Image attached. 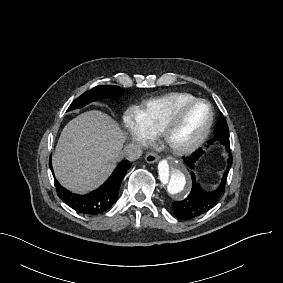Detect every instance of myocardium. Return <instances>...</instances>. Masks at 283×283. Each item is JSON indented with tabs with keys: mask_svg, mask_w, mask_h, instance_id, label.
I'll return each instance as SVG.
<instances>
[{
	"mask_svg": "<svg viewBox=\"0 0 283 283\" xmlns=\"http://www.w3.org/2000/svg\"><path fill=\"white\" fill-rule=\"evenodd\" d=\"M172 103H176V101L170 98H165L162 101V109L158 116V123H159L158 138L161 141V143L167 148V150L173 153L174 155L180 157L188 156L193 152H195L196 150H198L209 137L215 120L214 108L209 101L200 98L189 100L183 103H178L180 108H188L190 106L197 104H205L209 111V117L204 128L192 143H190L187 146L177 148L170 144L169 132L166 130V124H167L166 109L168 105Z\"/></svg>",
	"mask_w": 283,
	"mask_h": 283,
	"instance_id": "myocardium-1",
	"label": "myocardium"
}]
</instances>
